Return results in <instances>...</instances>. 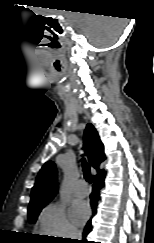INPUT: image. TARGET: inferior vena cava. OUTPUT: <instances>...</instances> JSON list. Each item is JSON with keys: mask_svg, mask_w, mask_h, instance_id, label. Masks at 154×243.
<instances>
[{"mask_svg": "<svg viewBox=\"0 0 154 243\" xmlns=\"http://www.w3.org/2000/svg\"><path fill=\"white\" fill-rule=\"evenodd\" d=\"M69 235H70L71 239L81 240V238H82L81 232H79L77 230H71Z\"/></svg>", "mask_w": 154, "mask_h": 243, "instance_id": "obj_1", "label": "inferior vena cava"}]
</instances>
